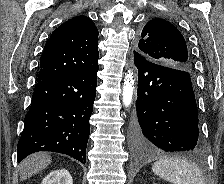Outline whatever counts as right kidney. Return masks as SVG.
<instances>
[{"label": "right kidney", "mask_w": 224, "mask_h": 184, "mask_svg": "<svg viewBox=\"0 0 224 184\" xmlns=\"http://www.w3.org/2000/svg\"><path fill=\"white\" fill-rule=\"evenodd\" d=\"M41 184H73V179L68 170L60 169L50 172Z\"/></svg>", "instance_id": "ca27d5eb"}]
</instances>
